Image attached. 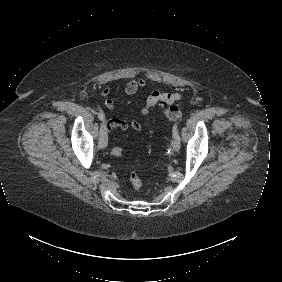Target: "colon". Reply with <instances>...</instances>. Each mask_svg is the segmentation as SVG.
<instances>
[{"label": "colon", "mask_w": 282, "mask_h": 282, "mask_svg": "<svg viewBox=\"0 0 282 282\" xmlns=\"http://www.w3.org/2000/svg\"><path fill=\"white\" fill-rule=\"evenodd\" d=\"M165 116L171 123H178L181 120V109L178 106H167L164 109ZM124 154V150L121 147H113L111 149V155L115 157H120ZM129 180L132 187L139 191L142 188V181L140 175L137 171H131L129 175Z\"/></svg>", "instance_id": "5ec220e1"}]
</instances>
